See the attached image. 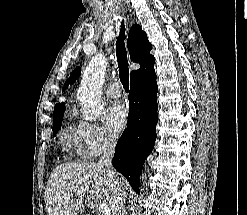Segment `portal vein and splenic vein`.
<instances>
[{
	"label": "portal vein and splenic vein",
	"instance_id": "portal-vein-and-splenic-vein-1",
	"mask_svg": "<svg viewBox=\"0 0 247 215\" xmlns=\"http://www.w3.org/2000/svg\"><path fill=\"white\" fill-rule=\"evenodd\" d=\"M98 209L103 215H111V209L106 204L98 205Z\"/></svg>",
	"mask_w": 247,
	"mask_h": 215
}]
</instances>
